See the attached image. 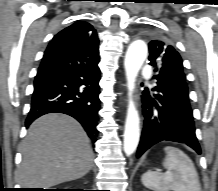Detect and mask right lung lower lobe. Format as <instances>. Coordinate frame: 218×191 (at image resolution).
Returning <instances> with one entry per match:
<instances>
[{
	"instance_id": "98d812e1",
	"label": "right lung lower lobe",
	"mask_w": 218,
	"mask_h": 191,
	"mask_svg": "<svg viewBox=\"0 0 218 191\" xmlns=\"http://www.w3.org/2000/svg\"><path fill=\"white\" fill-rule=\"evenodd\" d=\"M98 63V47L51 41L35 77L26 127L44 114L64 113L77 119L95 142L100 109Z\"/></svg>"
}]
</instances>
